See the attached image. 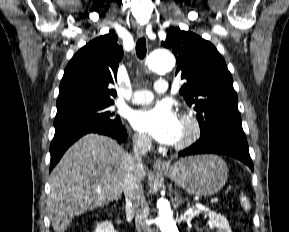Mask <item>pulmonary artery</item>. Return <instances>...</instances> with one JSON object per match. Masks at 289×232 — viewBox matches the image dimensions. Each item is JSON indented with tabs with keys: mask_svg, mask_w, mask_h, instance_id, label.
Here are the masks:
<instances>
[{
	"mask_svg": "<svg viewBox=\"0 0 289 232\" xmlns=\"http://www.w3.org/2000/svg\"><path fill=\"white\" fill-rule=\"evenodd\" d=\"M154 90L158 94H163L168 90V82L165 79H159L155 82ZM154 94L148 90H137L132 97L134 104H146L153 100Z\"/></svg>",
	"mask_w": 289,
	"mask_h": 232,
	"instance_id": "pulmonary-artery-1",
	"label": "pulmonary artery"
}]
</instances>
